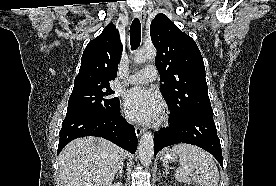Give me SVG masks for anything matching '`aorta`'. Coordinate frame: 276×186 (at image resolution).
<instances>
[{
    "label": "aorta",
    "mask_w": 276,
    "mask_h": 186,
    "mask_svg": "<svg viewBox=\"0 0 276 186\" xmlns=\"http://www.w3.org/2000/svg\"><path fill=\"white\" fill-rule=\"evenodd\" d=\"M157 51L154 47H144L138 50L134 56V62L141 64L156 58ZM139 158L143 166H149L154 154V140L151 132H144L141 136L139 145Z\"/></svg>",
    "instance_id": "762f6f07"
}]
</instances>
